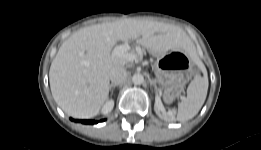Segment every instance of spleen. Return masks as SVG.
Here are the masks:
<instances>
[{"mask_svg": "<svg viewBox=\"0 0 261 150\" xmlns=\"http://www.w3.org/2000/svg\"><path fill=\"white\" fill-rule=\"evenodd\" d=\"M208 76L196 75L187 88V97L178 104L177 120L184 122L195 117L203 106L208 91Z\"/></svg>", "mask_w": 261, "mask_h": 150, "instance_id": "spleen-1", "label": "spleen"}]
</instances>
